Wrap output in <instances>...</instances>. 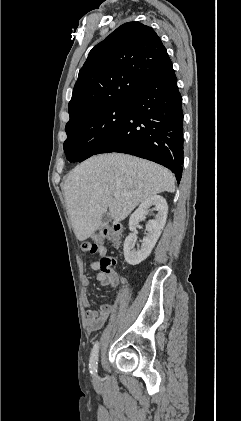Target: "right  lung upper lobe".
<instances>
[{
	"label": "right lung upper lobe",
	"instance_id": "cb5924a9",
	"mask_svg": "<svg viewBox=\"0 0 241 421\" xmlns=\"http://www.w3.org/2000/svg\"><path fill=\"white\" fill-rule=\"evenodd\" d=\"M168 58L151 27L139 22L121 25L90 51L80 69L66 126L92 112L128 101Z\"/></svg>",
	"mask_w": 241,
	"mask_h": 421
}]
</instances>
